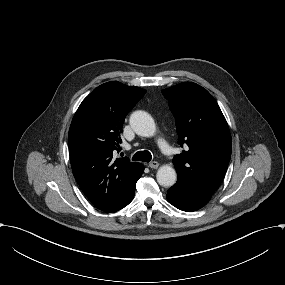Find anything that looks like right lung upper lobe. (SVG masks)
Segmentation results:
<instances>
[{"label":"right lung upper lobe","instance_id":"1","mask_svg":"<svg viewBox=\"0 0 285 285\" xmlns=\"http://www.w3.org/2000/svg\"><path fill=\"white\" fill-rule=\"evenodd\" d=\"M146 90L111 81L98 86L77 109L68 136L75 179L87 198L100 210L113 211L124 200L141 163L113 158L122 143L125 116Z\"/></svg>","mask_w":285,"mask_h":285}]
</instances>
